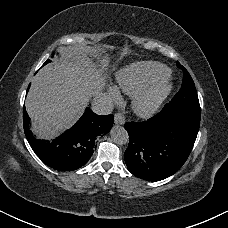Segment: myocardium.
Returning a JSON list of instances; mask_svg holds the SVG:
<instances>
[{
  "label": "myocardium",
  "instance_id": "1",
  "mask_svg": "<svg viewBox=\"0 0 228 228\" xmlns=\"http://www.w3.org/2000/svg\"><path fill=\"white\" fill-rule=\"evenodd\" d=\"M165 83L154 84L140 92L133 100V108L140 116H150L168 94Z\"/></svg>",
  "mask_w": 228,
  "mask_h": 228
}]
</instances>
